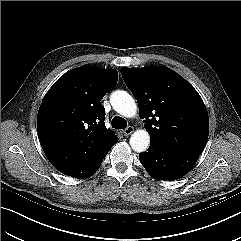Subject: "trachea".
Listing matches in <instances>:
<instances>
[{"instance_id": "trachea-1", "label": "trachea", "mask_w": 241, "mask_h": 241, "mask_svg": "<svg viewBox=\"0 0 241 241\" xmlns=\"http://www.w3.org/2000/svg\"><path fill=\"white\" fill-rule=\"evenodd\" d=\"M112 127L115 129H124L127 126V122L124 118L119 117V116H115L112 119Z\"/></svg>"}]
</instances>
